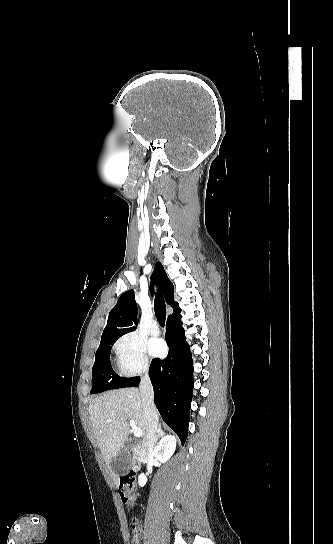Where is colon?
Wrapping results in <instances>:
<instances>
[{"mask_svg":"<svg viewBox=\"0 0 333 544\" xmlns=\"http://www.w3.org/2000/svg\"><path fill=\"white\" fill-rule=\"evenodd\" d=\"M120 497L128 506H134L136 502V482L134 474L130 473L120 479ZM141 528L136 520L133 521V535L131 544H140Z\"/></svg>","mask_w":333,"mask_h":544,"instance_id":"colon-1","label":"colon"}]
</instances>
